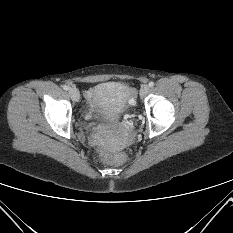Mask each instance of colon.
Masks as SVG:
<instances>
[{
    "mask_svg": "<svg viewBox=\"0 0 233 233\" xmlns=\"http://www.w3.org/2000/svg\"><path fill=\"white\" fill-rule=\"evenodd\" d=\"M100 157L105 162L112 163V162L116 161V157L114 155H112V154H110V153H108V152H106L104 150L100 151Z\"/></svg>",
    "mask_w": 233,
    "mask_h": 233,
    "instance_id": "1",
    "label": "colon"
}]
</instances>
